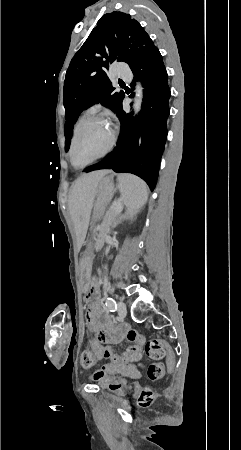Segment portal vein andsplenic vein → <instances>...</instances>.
<instances>
[{"label":"portal vein and splenic vein","mask_w":241,"mask_h":450,"mask_svg":"<svg viewBox=\"0 0 241 450\" xmlns=\"http://www.w3.org/2000/svg\"><path fill=\"white\" fill-rule=\"evenodd\" d=\"M110 205H112V204H110ZM124 206V203L123 202H120V203H118V204H113V209H112V212L113 213H122V208L121 207H123Z\"/></svg>","instance_id":"obj_1"}]
</instances>
